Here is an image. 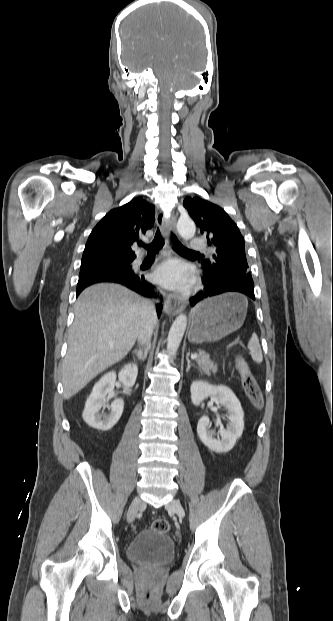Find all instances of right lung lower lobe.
I'll use <instances>...</instances> for the list:
<instances>
[{
    "mask_svg": "<svg viewBox=\"0 0 333 621\" xmlns=\"http://www.w3.org/2000/svg\"><path fill=\"white\" fill-rule=\"evenodd\" d=\"M100 282L119 283L143 296L159 298L154 286L145 280L144 275L132 270L131 267L119 268L108 265L82 268L77 284V296L87 286ZM162 308L161 303L156 305L158 317Z\"/></svg>",
    "mask_w": 333,
    "mask_h": 621,
    "instance_id": "right-lung-lower-lobe-1",
    "label": "right lung lower lobe"
}]
</instances>
